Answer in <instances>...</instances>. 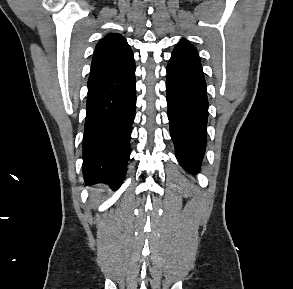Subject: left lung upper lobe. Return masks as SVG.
<instances>
[{"instance_id": "1", "label": "left lung upper lobe", "mask_w": 293, "mask_h": 289, "mask_svg": "<svg viewBox=\"0 0 293 289\" xmlns=\"http://www.w3.org/2000/svg\"><path fill=\"white\" fill-rule=\"evenodd\" d=\"M173 53H188V54H192V55H195V56L199 57L196 48H194L186 40L180 41L177 44L176 48L174 49Z\"/></svg>"}]
</instances>
